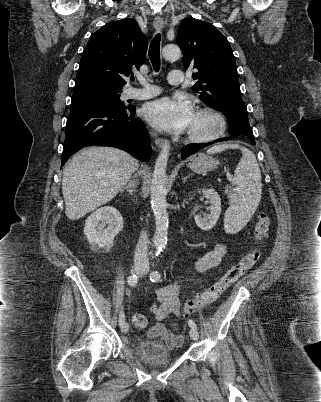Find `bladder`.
Segmentation results:
<instances>
[{"label":"bladder","mask_w":321,"mask_h":402,"mask_svg":"<svg viewBox=\"0 0 321 402\" xmlns=\"http://www.w3.org/2000/svg\"><path fill=\"white\" fill-rule=\"evenodd\" d=\"M135 354L142 361L149 364L170 362L175 357V353L171 352L165 344L151 337L150 331H148L146 337L138 343Z\"/></svg>","instance_id":"bladder-1"}]
</instances>
